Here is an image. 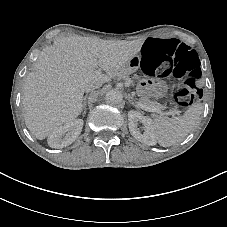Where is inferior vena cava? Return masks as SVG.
<instances>
[{"mask_svg": "<svg viewBox=\"0 0 227 227\" xmlns=\"http://www.w3.org/2000/svg\"><path fill=\"white\" fill-rule=\"evenodd\" d=\"M101 87V84H90L86 87V91H90V90H93V89H96V88H99Z\"/></svg>", "mask_w": 227, "mask_h": 227, "instance_id": "inferior-vena-cava-1", "label": "inferior vena cava"}]
</instances>
